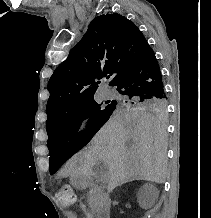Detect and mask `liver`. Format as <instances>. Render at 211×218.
I'll return each mask as SVG.
<instances>
[{
	"instance_id": "1",
	"label": "liver",
	"mask_w": 211,
	"mask_h": 218,
	"mask_svg": "<svg viewBox=\"0 0 211 218\" xmlns=\"http://www.w3.org/2000/svg\"><path fill=\"white\" fill-rule=\"evenodd\" d=\"M167 142L160 122L151 114L125 110L115 112L89 146L67 162L63 174L91 176L93 166L104 162L111 182L133 180L165 182Z\"/></svg>"
}]
</instances>
